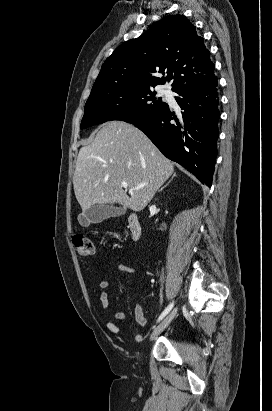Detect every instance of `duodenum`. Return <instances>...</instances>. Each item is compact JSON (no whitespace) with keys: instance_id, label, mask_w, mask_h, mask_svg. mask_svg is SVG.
Wrapping results in <instances>:
<instances>
[{"instance_id":"1","label":"duodenum","mask_w":272,"mask_h":411,"mask_svg":"<svg viewBox=\"0 0 272 411\" xmlns=\"http://www.w3.org/2000/svg\"><path fill=\"white\" fill-rule=\"evenodd\" d=\"M128 229L133 240L137 241L142 237V226L136 214H131L128 217Z\"/></svg>"}]
</instances>
